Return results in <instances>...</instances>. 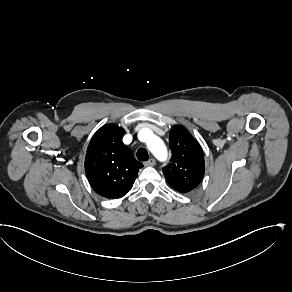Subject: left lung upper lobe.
Wrapping results in <instances>:
<instances>
[{
    "label": "left lung upper lobe",
    "mask_w": 292,
    "mask_h": 292,
    "mask_svg": "<svg viewBox=\"0 0 292 292\" xmlns=\"http://www.w3.org/2000/svg\"><path fill=\"white\" fill-rule=\"evenodd\" d=\"M171 162L163 168L168 184L180 193L196 188L205 172L204 155L198 141L185 127L176 125L170 130Z\"/></svg>",
    "instance_id": "obj_1"
}]
</instances>
